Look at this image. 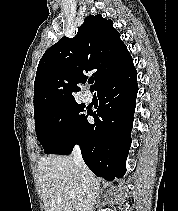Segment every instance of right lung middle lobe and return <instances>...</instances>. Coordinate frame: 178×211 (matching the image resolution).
<instances>
[{"label": "right lung middle lobe", "mask_w": 178, "mask_h": 211, "mask_svg": "<svg viewBox=\"0 0 178 211\" xmlns=\"http://www.w3.org/2000/svg\"><path fill=\"white\" fill-rule=\"evenodd\" d=\"M84 106L75 100L52 104L34 114L38 141L44 153L52 154L73 139L87 116Z\"/></svg>", "instance_id": "right-lung-middle-lobe-1"}]
</instances>
